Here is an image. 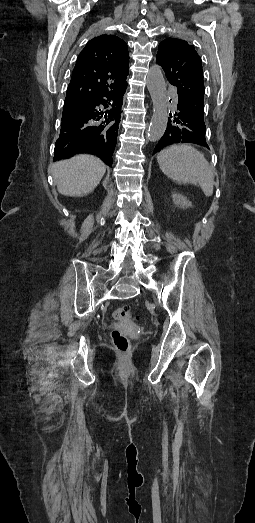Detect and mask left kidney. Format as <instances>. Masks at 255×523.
Listing matches in <instances>:
<instances>
[{"instance_id": "obj_1", "label": "left kidney", "mask_w": 255, "mask_h": 523, "mask_svg": "<svg viewBox=\"0 0 255 523\" xmlns=\"http://www.w3.org/2000/svg\"><path fill=\"white\" fill-rule=\"evenodd\" d=\"M173 202L176 206L180 208H190L192 206L191 202L185 198V196H180V194H172Z\"/></svg>"}]
</instances>
